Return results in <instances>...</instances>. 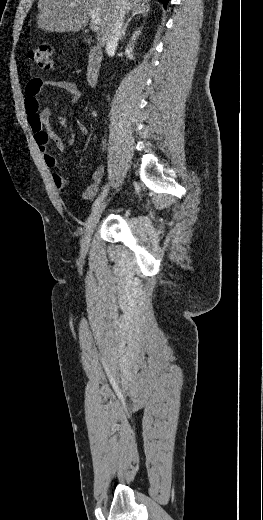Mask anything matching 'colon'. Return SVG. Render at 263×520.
<instances>
[{
  "label": "colon",
  "mask_w": 263,
  "mask_h": 520,
  "mask_svg": "<svg viewBox=\"0 0 263 520\" xmlns=\"http://www.w3.org/2000/svg\"><path fill=\"white\" fill-rule=\"evenodd\" d=\"M52 48L49 44L42 43L30 50L29 58L42 69L52 68Z\"/></svg>",
  "instance_id": "5ec220e1"
}]
</instances>
